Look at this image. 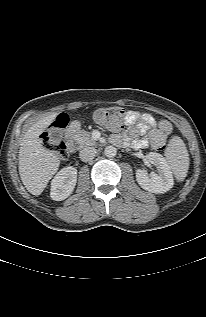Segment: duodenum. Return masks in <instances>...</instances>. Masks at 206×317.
<instances>
[{
	"label": "duodenum",
	"instance_id": "410a0bca",
	"mask_svg": "<svg viewBox=\"0 0 206 317\" xmlns=\"http://www.w3.org/2000/svg\"><path fill=\"white\" fill-rule=\"evenodd\" d=\"M82 128V125L80 122L75 121L70 125V127L67 128V130L64 133L65 136V141H64V146L66 148H71L73 144L76 141L75 135L78 131H80Z\"/></svg>",
	"mask_w": 206,
	"mask_h": 317
}]
</instances>
